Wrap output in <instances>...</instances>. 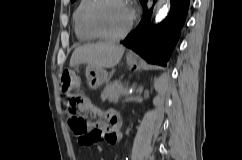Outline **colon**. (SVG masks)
Returning a JSON list of instances; mask_svg holds the SVG:
<instances>
[{
    "label": "colon",
    "instance_id": "obj_1",
    "mask_svg": "<svg viewBox=\"0 0 242 160\" xmlns=\"http://www.w3.org/2000/svg\"><path fill=\"white\" fill-rule=\"evenodd\" d=\"M61 93L67 98V112L71 119L74 132L80 136V143L93 145L100 137L101 131L90 128L87 120L94 114L92 107L85 101L80 90V82L74 74L66 69L60 74Z\"/></svg>",
    "mask_w": 242,
    "mask_h": 160
}]
</instances>
